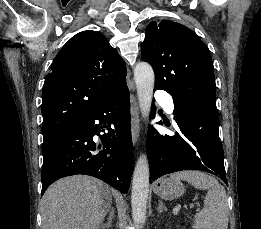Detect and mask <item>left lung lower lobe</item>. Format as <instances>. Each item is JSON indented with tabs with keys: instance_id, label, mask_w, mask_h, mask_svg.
<instances>
[{
	"instance_id": "obj_1",
	"label": "left lung lower lobe",
	"mask_w": 261,
	"mask_h": 229,
	"mask_svg": "<svg viewBox=\"0 0 261 229\" xmlns=\"http://www.w3.org/2000/svg\"><path fill=\"white\" fill-rule=\"evenodd\" d=\"M173 102L178 132L169 136L160 135L153 128L149 130L150 182L175 171L202 170L219 176L227 184L217 108L194 100ZM154 115L155 110L151 117Z\"/></svg>"
}]
</instances>
